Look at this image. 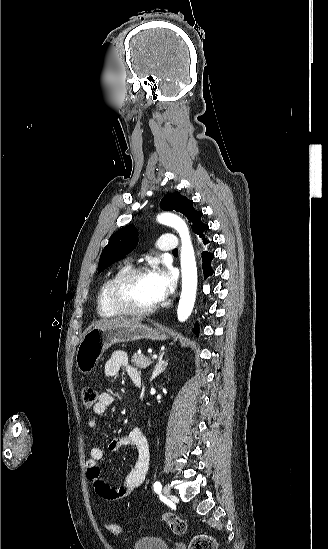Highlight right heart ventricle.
Instances as JSON below:
<instances>
[{
    "label": "right heart ventricle",
    "instance_id": "e07e8e85",
    "mask_svg": "<svg viewBox=\"0 0 328 549\" xmlns=\"http://www.w3.org/2000/svg\"><path fill=\"white\" fill-rule=\"evenodd\" d=\"M134 265V260L132 258L123 259L117 266L115 272L102 284L96 299V312L100 319L103 321L109 322L110 319H124V316L115 315L108 311V300H107V290L111 282L117 277L121 272L130 268Z\"/></svg>",
    "mask_w": 328,
    "mask_h": 549
}]
</instances>
